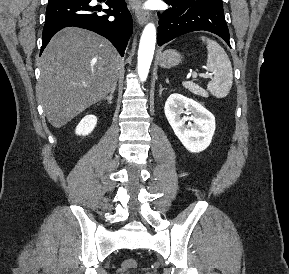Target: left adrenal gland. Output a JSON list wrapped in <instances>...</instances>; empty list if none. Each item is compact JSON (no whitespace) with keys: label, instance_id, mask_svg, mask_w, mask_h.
I'll return each mask as SVG.
<instances>
[{"label":"left adrenal gland","instance_id":"a2214340","mask_svg":"<svg viewBox=\"0 0 289 274\" xmlns=\"http://www.w3.org/2000/svg\"><path fill=\"white\" fill-rule=\"evenodd\" d=\"M164 88H162V85L160 84V89H159V96H161L162 92H163Z\"/></svg>","mask_w":289,"mask_h":274}]
</instances>
